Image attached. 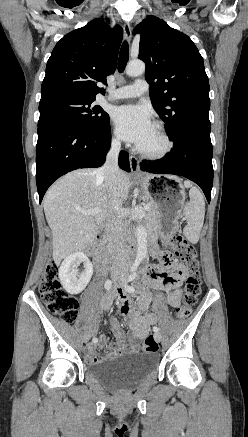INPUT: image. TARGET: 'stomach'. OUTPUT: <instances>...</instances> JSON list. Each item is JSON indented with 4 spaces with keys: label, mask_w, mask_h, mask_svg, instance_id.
<instances>
[{
    "label": "stomach",
    "mask_w": 248,
    "mask_h": 437,
    "mask_svg": "<svg viewBox=\"0 0 248 437\" xmlns=\"http://www.w3.org/2000/svg\"><path fill=\"white\" fill-rule=\"evenodd\" d=\"M139 182L145 198L157 207L160 214L158 229L161 236L176 232L186 199L183 188L175 189L171 184L179 182V179L169 175L146 174Z\"/></svg>",
    "instance_id": "obj_1"
}]
</instances>
